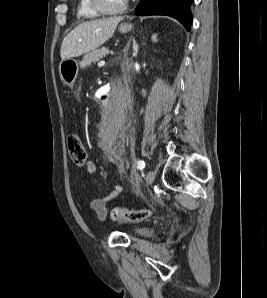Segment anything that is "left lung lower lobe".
Returning <instances> with one entry per match:
<instances>
[{"instance_id": "1", "label": "left lung lower lobe", "mask_w": 267, "mask_h": 298, "mask_svg": "<svg viewBox=\"0 0 267 298\" xmlns=\"http://www.w3.org/2000/svg\"><path fill=\"white\" fill-rule=\"evenodd\" d=\"M193 0H141L135 15H168L178 19L190 30L192 16L189 10Z\"/></svg>"}]
</instances>
